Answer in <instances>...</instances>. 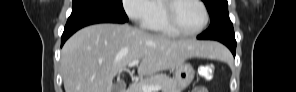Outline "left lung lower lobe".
<instances>
[{"label": "left lung lower lobe", "mask_w": 296, "mask_h": 92, "mask_svg": "<svg viewBox=\"0 0 296 92\" xmlns=\"http://www.w3.org/2000/svg\"><path fill=\"white\" fill-rule=\"evenodd\" d=\"M197 39H201V40H206L205 36L203 34H200L197 36ZM223 44H225L233 53L234 57H235V53H236V40H230V39H221V40H217Z\"/></svg>", "instance_id": "left-lung-lower-lobe-1"}]
</instances>
